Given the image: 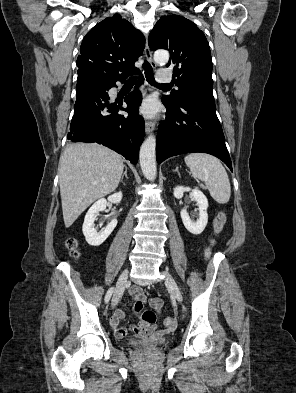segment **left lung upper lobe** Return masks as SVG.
<instances>
[{"mask_svg": "<svg viewBox=\"0 0 296 393\" xmlns=\"http://www.w3.org/2000/svg\"><path fill=\"white\" fill-rule=\"evenodd\" d=\"M149 47L163 48L171 53L167 67L174 65L173 90L162 101L169 106L191 96L213 97L212 60L204 33L190 20L179 15L160 18L150 33Z\"/></svg>", "mask_w": 296, "mask_h": 393, "instance_id": "obj_1", "label": "left lung upper lobe"}]
</instances>
